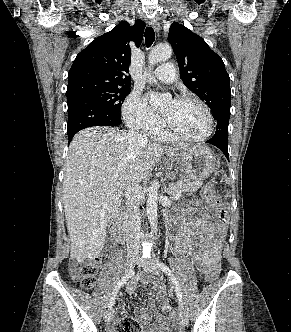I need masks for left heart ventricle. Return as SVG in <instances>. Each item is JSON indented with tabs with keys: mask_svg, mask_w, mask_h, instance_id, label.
Wrapping results in <instances>:
<instances>
[{
	"mask_svg": "<svg viewBox=\"0 0 291 332\" xmlns=\"http://www.w3.org/2000/svg\"><path fill=\"white\" fill-rule=\"evenodd\" d=\"M161 111L172 127L184 135L197 137L207 130V117L194 102L169 100L161 106Z\"/></svg>",
	"mask_w": 291,
	"mask_h": 332,
	"instance_id": "1",
	"label": "left heart ventricle"
}]
</instances>
